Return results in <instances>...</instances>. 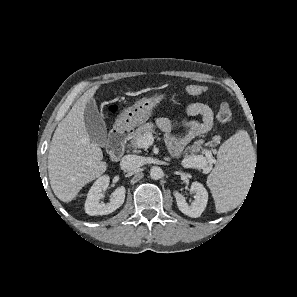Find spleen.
Masks as SVG:
<instances>
[{
	"instance_id": "3e777b00",
	"label": "spleen",
	"mask_w": 297,
	"mask_h": 297,
	"mask_svg": "<svg viewBox=\"0 0 297 297\" xmlns=\"http://www.w3.org/2000/svg\"><path fill=\"white\" fill-rule=\"evenodd\" d=\"M256 155L248 133L244 130L226 140L219 148L217 164L209 174L217 212H225L243 196L250 184Z\"/></svg>"
}]
</instances>
